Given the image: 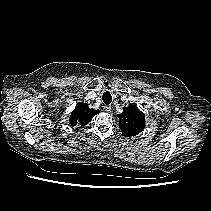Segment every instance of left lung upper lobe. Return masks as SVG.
<instances>
[{"mask_svg":"<svg viewBox=\"0 0 211 211\" xmlns=\"http://www.w3.org/2000/svg\"><path fill=\"white\" fill-rule=\"evenodd\" d=\"M119 126L125 137H131L139 134L145 127L144 114L136 105H130L123 108V112L117 115Z\"/></svg>","mask_w":211,"mask_h":211,"instance_id":"left-lung-upper-lobe-1","label":"left lung upper lobe"}]
</instances>
